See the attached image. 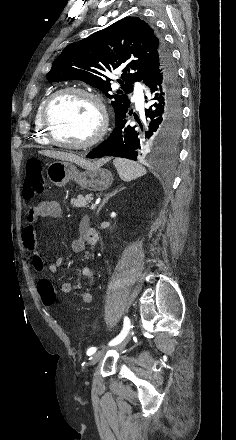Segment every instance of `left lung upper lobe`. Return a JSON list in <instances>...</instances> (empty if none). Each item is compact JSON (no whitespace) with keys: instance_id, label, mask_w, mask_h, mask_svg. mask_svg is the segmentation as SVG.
I'll list each match as a JSON object with an SVG mask.
<instances>
[{"instance_id":"1","label":"left lung upper lobe","mask_w":236,"mask_h":440,"mask_svg":"<svg viewBox=\"0 0 236 440\" xmlns=\"http://www.w3.org/2000/svg\"><path fill=\"white\" fill-rule=\"evenodd\" d=\"M170 53L164 39L145 21L126 17L91 36L67 46L46 74L50 82L81 80L112 99L115 116L128 111L133 83L142 81L151 61ZM122 70V90L110 95L109 73Z\"/></svg>"}]
</instances>
